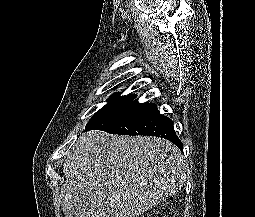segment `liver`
Listing matches in <instances>:
<instances>
[{
	"label": "liver",
	"instance_id": "1",
	"mask_svg": "<svg viewBox=\"0 0 255 217\" xmlns=\"http://www.w3.org/2000/svg\"><path fill=\"white\" fill-rule=\"evenodd\" d=\"M63 173L65 217H139L186 180L184 157L168 140L97 130L71 146Z\"/></svg>",
	"mask_w": 255,
	"mask_h": 217
}]
</instances>
